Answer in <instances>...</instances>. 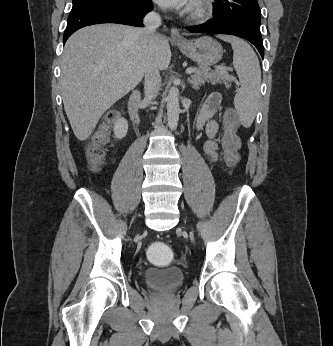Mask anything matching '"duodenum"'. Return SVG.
Wrapping results in <instances>:
<instances>
[{
    "mask_svg": "<svg viewBox=\"0 0 333 346\" xmlns=\"http://www.w3.org/2000/svg\"><path fill=\"white\" fill-rule=\"evenodd\" d=\"M141 99V92L139 90H135L131 93L128 101V109L129 114L132 119V121L135 124H139L141 117L139 113V102Z\"/></svg>",
    "mask_w": 333,
    "mask_h": 346,
    "instance_id": "duodenum-1",
    "label": "duodenum"
}]
</instances>
